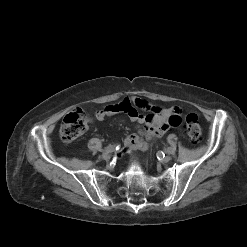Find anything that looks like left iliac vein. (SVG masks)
<instances>
[{
  "instance_id": "4c4485c4",
  "label": "left iliac vein",
  "mask_w": 247,
  "mask_h": 247,
  "mask_svg": "<svg viewBox=\"0 0 247 247\" xmlns=\"http://www.w3.org/2000/svg\"><path fill=\"white\" fill-rule=\"evenodd\" d=\"M171 159H172V158H171L170 155H166V156L162 159V162H163V163H167V162H169Z\"/></svg>"
}]
</instances>
